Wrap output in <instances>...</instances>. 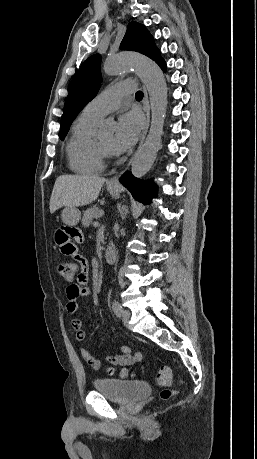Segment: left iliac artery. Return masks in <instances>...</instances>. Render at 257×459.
<instances>
[{"label": "left iliac artery", "instance_id": "obj_1", "mask_svg": "<svg viewBox=\"0 0 257 459\" xmlns=\"http://www.w3.org/2000/svg\"><path fill=\"white\" fill-rule=\"evenodd\" d=\"M112 308H113V311H114V313L116 314L117 317H121L122 316V307L119 304V302L114 301L113 305H112Z\"/></svg>", "mask_w": 257, "mask_h": 459}]
</instances>
